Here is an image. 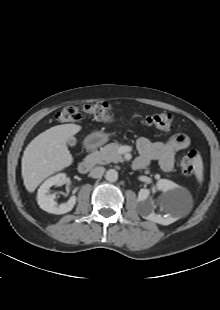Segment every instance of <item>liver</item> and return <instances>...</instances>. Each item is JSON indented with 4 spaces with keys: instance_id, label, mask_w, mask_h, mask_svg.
<instances>
[{
    "instance_id": "1",
    "label": "liver",
    "mask_w": 220,
    "mask_h": 310,
    "mask_svg": "<svg viewBox=\"0 0 220 310\" xmlns=\"http://www.w3.org/2000/svg\"><path fill=\"white\" fill-rule=\"evenodd\" d=\"M81 129L76 124L57 125L28 144L22 157V177L27 191L34 192L44 179L72 164L73 157L66 143Z\"/></svg>"
}]
</instances>
